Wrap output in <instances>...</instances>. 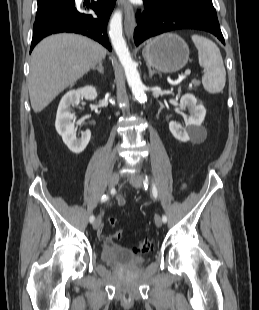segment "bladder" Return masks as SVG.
<instances>
[{
  "label": "bladder",
  "mask_w": 259,
  "mask_h": 310,
  "mask_svg": "<svg viewBox=\"0 0 259 310\" xmlns=\"http://www.w3.org/2000/svg\"><path fill=\"white\" fill-rule=\"evenodd\" d=\"M100 259L104 263L122 269L135 268L145 261L143 257L130 249L114 244H107L102 247Z\"/></svg>",
  "instance_id": "1"
}]
</instances>
